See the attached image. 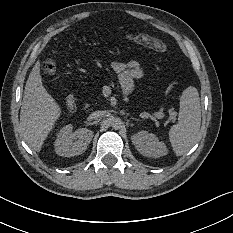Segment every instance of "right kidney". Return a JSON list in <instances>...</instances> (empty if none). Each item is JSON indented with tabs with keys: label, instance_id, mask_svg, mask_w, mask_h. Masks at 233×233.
Here are the masks:
<instances>
[{
	"label": "right kidney",
	"instance_id": "obj_1",
	"mask_svg": "<svg viewBox=\"0 0 233 233\" xmlns=\"http://www.w3.org/2000/svg\"><path fill=\"white\" fill-rule=\"evenodd\" d=\"M72 129L73 126L68 124L58 133L54 145L55 152L59 156L73 157L81 155L85 152L94 136L93 131L87 128H80L75 132H72Z\"/></svg>",
	"mask_w": 233,
	"mask_h": 233
}]
</instances>
